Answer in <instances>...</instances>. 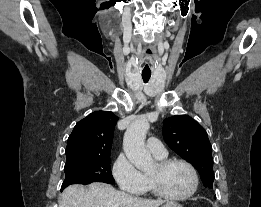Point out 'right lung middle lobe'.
Masks as SVG:
<instances>
[{"mask_svg":"<svg viewBox=\"0 0 261 207\" xmlns=\"http://www.w3.org/2000/svg\"><path fill=\"white\" fill-rule=\"evenodd\" d=\"M65 180L61 190L71 184H90L92 182H105L114 184L110 169V156L82 159L66 162Z\"/></svg>","mask_w":261,"mask_h":207,"instance_id":"1","label":"right lung middle lobe"}]
</instances>
